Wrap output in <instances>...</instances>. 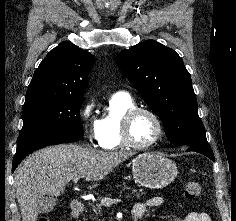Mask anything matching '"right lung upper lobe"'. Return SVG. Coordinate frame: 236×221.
I'll use <instances>...</instances> for the list:
<instances>
[{"mask_svg":"<svg viewBox=\"0 0 236 221\" xmlns=\"http://www.w3.org/2000/svg\"><path fill=\"white\" fill-rule=\"evenodd\" d=\"M94 62L89 52L70 42H61L36 69L26 95L82 96Z\"/></svg>","mask_w":236,"mask_h":221,"instance_id":"right-lung-upper-lobe-1","label":"right lung upper lobe"}]
</instances>
